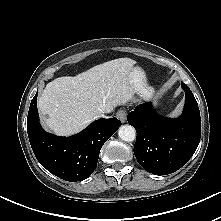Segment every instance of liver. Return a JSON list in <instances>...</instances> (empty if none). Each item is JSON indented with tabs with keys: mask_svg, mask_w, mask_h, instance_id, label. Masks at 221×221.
I'll return each mask as SVG.
<instances>
[{
	"mask_svg": "<svg viewBox=\"0 0 221 221\" xmlns=\"http://www.w3.org/2000/svg\"><path fill=\"white\" fill-rule=\"evenodd\" d=\"M135 63L130 58L114 59L49 82L38 97L44 126L57 135H73L135 94L150 97L153 90L133 80Z\"/></svg>",
	"mask_w": 221,
	"mask_h": 221,
	"instance_id": "liver-1",
	"label": "liver"
}]
</instances>
